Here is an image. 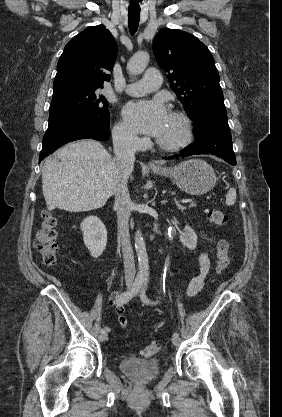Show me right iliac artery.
I'll list each match as a JSON object with an SVG mask.
<instances>
[{
	"mask_svg": "<svg viewBox=\"0 0 282 417\" xmlns=\"http://www.w3.org/2000/svg\"><path fill=\"white\" fill-rule=\"evenodd\" d=\"M143 284V280L140 278H137L133 284V286L121 293L115 300V304L117 305H124L126 304L128 301H130L134 296L137 295V293L139 292L141 286ZM106 331V328H102L101 329V333H104Z\"/></svg>",
	"mask_w": 282,
	"mask_h": 417,
	"instance_id": "82829eb1",
	"label": "right iliac artery"
}]
</instances>
